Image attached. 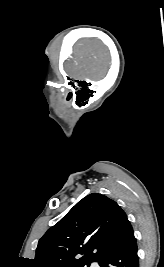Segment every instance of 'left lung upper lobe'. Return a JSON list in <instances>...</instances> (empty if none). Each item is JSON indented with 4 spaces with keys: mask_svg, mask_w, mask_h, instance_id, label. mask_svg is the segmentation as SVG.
Wrapping results in <instances>:
<instances>
[{
    "mask_svg": "<svg viewBox=\"0 0 164 267\" xmlns=\"http://www.w3.org/2000/svg\"><path fill=\"white\" fill-rule=\"evenodd\" d=\"M128 222L113 200L99 193L81 199L39 240L33 267H89ZM81 254V258H76Z\"/></svg>",
    "mask_w": 164,
    "mask_h": 267,
    "instance_id": "obj_1",
    "label": "left lung upper lobe"
}]
</instances>
